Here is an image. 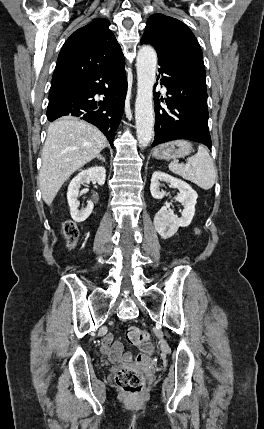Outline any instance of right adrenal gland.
Listing matches in <instances>:
<instances>
[{
  "instance_id": "right-adrenal-gland-1",
  "label": "right adrenal gland",
  "mask_w": 264,
  "mask_h": 429,
  "mask_svg": "<svg viewBox=\"0 0 264 429\" xmlns=\"http://www.w3.org/2000/svg\"><path fill=\"white\" fill-rule=\"evenodd\" d=\"M97 159L100 160V161H102V162H105V158L101 154H99L97 156Z\"/></svg>"
}]
</instances>
